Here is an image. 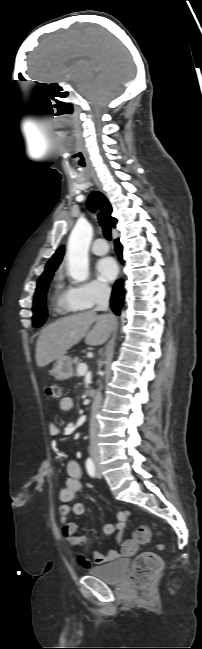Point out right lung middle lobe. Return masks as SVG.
I'll list each match as a JSON object with an SVG mask.
<instances>
[{
  "label": "right lung middle lobe",
  "mask_w": 202,
  "mask_h": 649,
  "mask_svg": "<svg viewBox=\"0 0 202 649\" xmlns=\"http://www.w3.org/2000/svg\"><path fill=\"white\" fill-rule=\"evenodd\" d=\"M53 277V272L39 278L33 300V326L40 327L47 318L46 292Z\"/></svg>",
  "instance_id": "right-lung-middle-lobe-1"
}]
</instances>
